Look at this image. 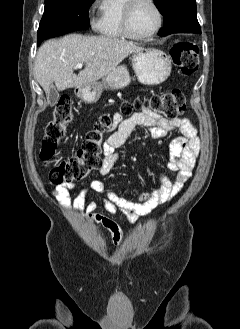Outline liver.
I'll use <instances>...</instances> for the list:
<instances>
[{
	"instance_id": "6515ba94",
	"label": "liver",
	"mask_w": 240,
	"mask_h": 329,
	"mask_svg": "<svg viewBox=\"0 0 240 329\" xmlns=\"http://www.w3.org/2000/svg\"><path fill=\"white\" fill-rule=\"evenodd\" d=\"M142 48L132 41L109 37L67 35L45 42L35 58V76L49 96L50 85L55 83L59 91L81 87L107 76L128 55ZM84 63L78 75L75 66Z\"/></svg>"
}]
</instances>
